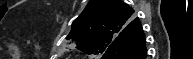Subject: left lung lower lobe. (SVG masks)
<instances>
[{
    "mask_svg": "<svg viewBox=\"0 0 193 59\" xmlns=\"http://www.w3.org/2000/svg\"><path fill=\"white\" fill-rule=\"evenodd\" d=\"M145 35L139 19L132 21L121 38L111 44L102 59H146Z\"/></svg>",
    "mask_w": 193,
    "mask_h": 59,
    "instance_id": "1",
    "label": "left lung lower lobe"
}]
</instances>
